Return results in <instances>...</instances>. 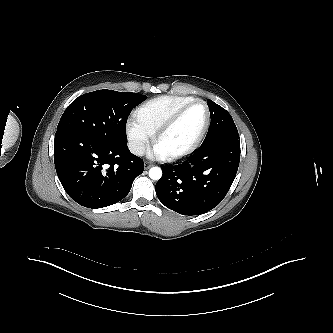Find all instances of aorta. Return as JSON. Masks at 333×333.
<instances>
[{"instance_id": "762f6f07", "label": "aorta", "mask_w": 333, "mask_h": 333, "mask_svg": "<svg viewBox=\"0 0 333 333\" xmlns=\"http://www.w3.org/2000/svg\"><path fill=\"white\" fill-rule=\"evenodd\" d=\"M149 177L152 180H159L162 177V170L159 167H152L149 170Z\"/></svg>"}]
</instances>
